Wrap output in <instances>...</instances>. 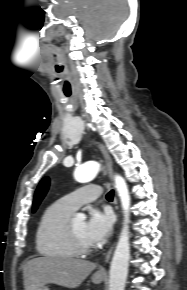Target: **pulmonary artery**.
Returning a JSON list of instances; mask_svg holds the SVG:
<instances>
[{"label": "pulmonary artery", "mask_w": 187, "mask_h": 290, "mask_svg": "<svg viewBox=\"0 0 187 290\" xmlns=\"http://www.w3.org/2000/svg\"><path fill=\"white\" fill-rule=\"evenodd\" d=\"M102 194V188L97 184L82 186L62 197V201L71 209L76 210L82 204L91 202Z\"/></svg>", "instance_id": "e3ab8cb5"}]
</instances>
